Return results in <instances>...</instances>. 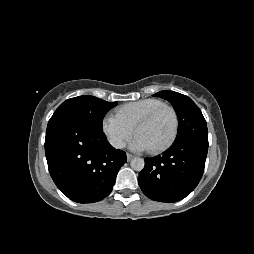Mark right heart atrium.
I'll return each mask as SVG.
<instances>
[{
	"mask_svg": "<svg viewBox=\"0 0 254 254\" xmlns=\"http://www.w3.org/2000/svg\"><path fill=\"white\" fill-rule=\"evenodd\" d=\"M101 128L109 143L116 149L123 148L134 133L133 127L113 114L104 116Z\"/></svg>",
	"mask_w": 254,
	"mask_h": 254,
	"instance_id": "obj_1",
	"label": "right heart atrium"
}]
</instances>
